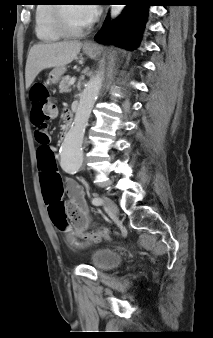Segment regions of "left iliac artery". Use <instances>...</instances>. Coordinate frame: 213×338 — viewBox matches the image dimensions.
<instances>
[{
  "label": "left iliac artery",
  "mask_w": 213,
  "mask_h": 338,
  "mask_svg": "<svg viewBox=\"0 0 213 338\" xmlns=\"http://www.w3.org/2000/svg\"><path fill=\"white\" fill-rule=\"evenodd\" d=\"M91 202H92V204H93V205L99 206V205H101V204H102V202H103V201H102V199H101V198H99V197H95V198H93V199H92V201H91Z\"/></svg>",
  "instance_id": "1"
}]
</instances>
